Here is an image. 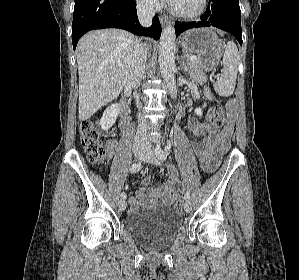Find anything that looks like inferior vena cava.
I'll use <instances>...</instances> for the list:
<instances>
[{
  "instance_id": "1",
  "label": "inferior vena cava",
  "mask_w": 299,
  "mask_h": 280,
  "mask_svg": "<svg viewBox=\"0 0 299 280\" xmlns=\"http://www.w3.org/2000/svg\"><path fill=\"white\" fill-rule=\"evenodd\" d=\"M137 14L142 26L148 27L152 24L154 16V1L153 0H139L137 3ZM147 60V49L143 45L136 43L133 51V58L131 60L130 72L128 76V83L137 89L145 74V64ZM138 108L141 107L138 99V94L135 92ZM148 124L143 116H138V129L135 136V144L148 143Z\"/></svg>"
}]
</instances>
